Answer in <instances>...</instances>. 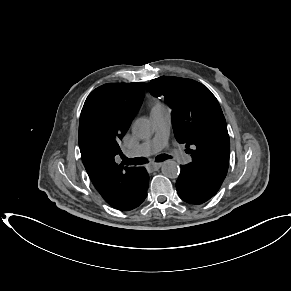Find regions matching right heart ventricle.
<instances>
[{"instance_id": "e07e8e85", "label": "right heart ventricle", "mask_w": 291, "mask_h": 291, "mask_svg": "<svg viewBox=\"0 0 291 291\" xmlns=\"http://www.w3.org/2000/svg\"><path fill=\"white\" fill-rule=\"evenodd\" d=\"M166 109L164 105L158 101H155L151 108V113L159 112Z\"/></svg>"}]
</instances>
